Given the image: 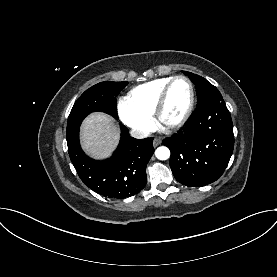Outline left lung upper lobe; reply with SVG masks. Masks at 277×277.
<instances>
[{
  "mask_svg": "<svg viewBox=\"0 0 277 277\" xmlns=\"http://www.w3.org/2000/svg\"><path fill=\"white\" fill-rule=\"evenodd\" d=\"M183 73L187 75L195 84L197 93V107L201 106L212 98L222 96L219 90L209 83L205 78L187 71H183Z\"/></svg>",
  "mask_w": 277,
  "mask_h": 277,
  "instance_id": "1",
  "label": "left lung upper lobe"
}]
</instances>
